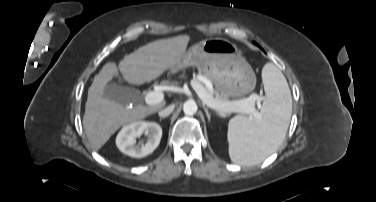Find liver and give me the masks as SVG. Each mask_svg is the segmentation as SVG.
<instances>
[{
  "instance_id": "obj_1",
  "label": "liver",
  "mask_w": 376,
  "mask_h": 202,
  "mask_svg": "<svg viewBox=\"0 0 376 202\" xmlns=\"http://www.w3.org/2000/svg\"><path fill=\"white\" fill-rule=\"evenodd\" d=\"M189 40V35L156 40L126 55L118 66L114 62L103 66L88 89L83 117V127L94 150H99L121 126L139 121L166 105L163 100L150 106L139 104L126 108L103 97L107 83L120 74L134 85L158 78L181 61Z\"/></svg>"
}]
</instances>
